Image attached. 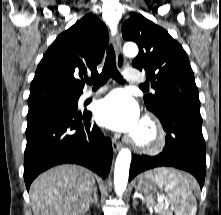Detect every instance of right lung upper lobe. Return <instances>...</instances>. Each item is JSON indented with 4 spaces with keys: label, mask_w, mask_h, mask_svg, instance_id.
I'll list each match as a JSON object with an SVG mask.
<instances>
[{
    "label": "right lung upper lobe",
    "mask_w": 221,
    "mask_h": 215,
    "mask_svg": "<svg viewBox=\"0 0 221 215\" xmlns=\"http://www.w3.org/2000/svg\"><path fill=\"white\" fill-rule=\"evenodd\" d=\"M108 43L106 26L88 14L61 33L40 61L30 85L29 108L78 99L84 83L98 74Z\"/></svg>",
    "instance_id": "right-lung-upper-lobe-1"
}]
</instances>
